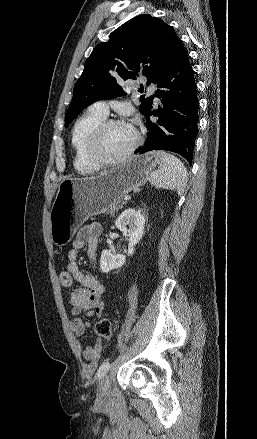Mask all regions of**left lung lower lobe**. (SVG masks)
<instances>
[{
  "label": "left lung lower lobe",
  "instance_id": "obj_1",
  "mask_svg": "<svg viewBox=\"0 0 257 439\" xmlns=\"http://www.w3.org/2000/svg\"><path fill=\"white\" fill-rule=\"evenodd\" d=\"M156 84L159 89L155 96L161 98L163 108H158L157 112L151 108L145 116L149 134L145 145L135 150V154L172 151L191 165L198 131L199 100L194 72L180 39ZM156 114L159 119L153 123L150 116Z\"/></svg>",
  "mask_w": 257,
  "mask_h": 439
}]
</instances>
